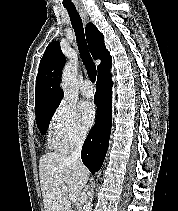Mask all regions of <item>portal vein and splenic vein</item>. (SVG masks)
Returning a JSON list of instances; mask_svg holds the SVG:
<instances>
[{
  "mask_svg": "<svg viewBox=\"0 0 178 211\" xmlns=\"http://www.w3.org/2000/svg\"><path fill=\"white\" fill-rule=\"evenodd\" d=\"M62 190L66 192L67 191V187L66 186H62ZM69 198L74 203L77 201V196L75 194H69Z\"/></svg>",
  "mask_w": 178,
  "mask_h": 211,
  "instance_id": "portal-vein-and-splenic-vein-1",
  "label": "portal vein and splenic vein"
}]
</instances>
